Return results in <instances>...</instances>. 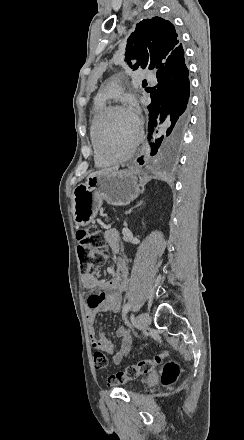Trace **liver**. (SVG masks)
I'll use <instances>...</instances> for the list:
<instances>
[{"label":"liver","mask_w":244,"mask_h":440,"mask_svg":"<svg viewBox=\"0 0 244 440\" xmlns=\"http://www.w3.org/2000/svg\"><path fill=\"white\" fill-rule=\"evenodd\" d=\"M117 168H104V170H99V172H93V174H89L88 178H92V176H101V174H106V172H114ZM86 178V180H88Z\"/></svg>","instance_id":"6515ba94"}]
</instances>
